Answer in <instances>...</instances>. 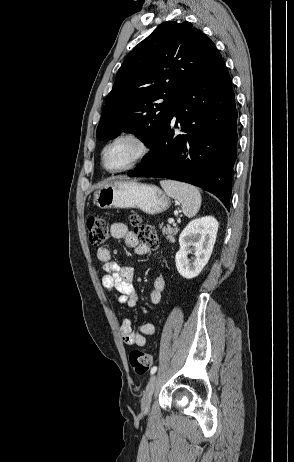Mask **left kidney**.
I'll return each instance as SVG.
<instances>
[{
    "label": "left kidney",
    "instance_id": "obj_1",
    "mask_svg": "<svg viewBox=\"0 0 294 462\" xmlns=\"http://www.w3.org/2000/svg\"><path fill=\"white\" fill-rule=\"evenodd\" d=\"M218 221L212 216L196 218L189 222L179 237L180 249L175 255L179 274L192 279L199 275L208 263L218 231ZM193 248H190V247ZM193 254L192 259L188 258Z\"/></svg>",
    "mask_w": 294,
    "mask_h": 462
}]
</instances>
